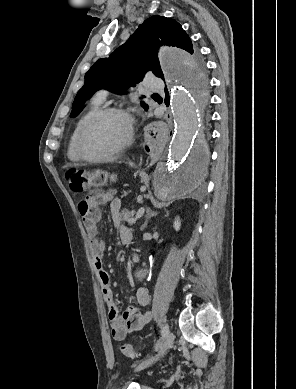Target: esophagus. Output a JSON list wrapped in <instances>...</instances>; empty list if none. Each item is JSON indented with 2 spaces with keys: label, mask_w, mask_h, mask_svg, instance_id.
I'll return each mask as SVG.
<instances>
[{
  "label": "esophagus",
  "mask_w": 296,
  "mask_h": 389,
  "mask_svg": "<svg viewBox=\"0 0 296 389\" xmlns=\"http://www.w3.org/2000/svg\"><path fill=\"white\" fill-rule=\"evenodd\" d=\"M146 129L157 134L165 129V120L163 118H148L146 120Z\"/></svg>",
  "instance_id": "34e87169"
}]
</instances>
